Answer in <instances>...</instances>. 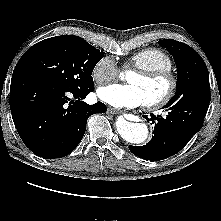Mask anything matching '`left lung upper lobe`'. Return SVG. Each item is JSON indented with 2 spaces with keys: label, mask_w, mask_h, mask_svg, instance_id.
Here are the masks:
<instances>
[{
  "label": "left lung upper lobe",
  "mask_w": 221,
  "mask_h": 221,
  "mask_svg": "<svg viewBox=\"0 0 221 221\" xmlns=\"http://www.w3.org/2000/svg\"><path fill=\"white\" fill-rule=\"evenodd\" d=\"M158 43L173 55L178 71L176 93L169 104L185 102L210 93L207 66L193 48L173 39L160 40Z\"/></svg>",
  "instance_id": "1"
}]
</instances>
